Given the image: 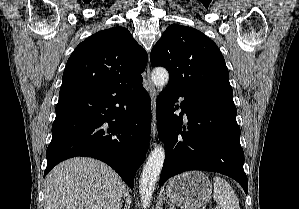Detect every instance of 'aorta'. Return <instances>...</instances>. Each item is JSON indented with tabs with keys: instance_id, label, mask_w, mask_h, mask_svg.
I'll use <instances>...</instances> for the list:
<instances>
[{
	"instance_id": "762f6f07",
	"label": "aorta",
	"mask_w": 299,
	"mask_h": 209,
	"mask_svg": "<svg viewBox=\"0 0 299 209\" xmlns=\"http://www.w3.org/2000/svg\"><path fill=\"white\" fill-rule=\"evenodd\" d=\"M151 79L156 87L162 88L166 86L169 81V73L165 68L157 67L152 71ZM164 160V148L162 145H158L151 151L146 165L144 166L140 180V196L142 204L145 208L149 205V202L152 198V194L160 176Z\"/></svg>"
}]
</instances>
